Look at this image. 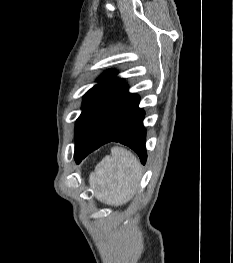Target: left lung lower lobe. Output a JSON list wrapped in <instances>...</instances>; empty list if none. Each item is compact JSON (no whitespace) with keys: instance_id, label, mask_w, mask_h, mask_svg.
Listing matches in <instances>:
<instances>
[{"instance_id":"obj_1","label":"left lung lower lobe","mask_w":233,"mask_h":263,"mask_svg":"<svg viewBox=\"0 0 233 263\" xmlns=\"http://www.w3.org/2000/svg\"><path fill=\"white\" fill-rule=\"evenodd\" d=\"M138 105L139 96L129 93L125 84L99 117L87 143L82 148L75 147L76 162L106 143L119 142L134 150L145 164L144 111Z\"/></svg>"}]
</instances>
